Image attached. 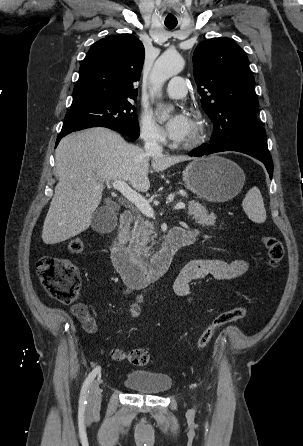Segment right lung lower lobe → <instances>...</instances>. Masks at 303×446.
<instances>
[{"mask_svg":"<svg viewBox=\"0 0 303 446\" xmlns=\"http://www.w3.org/2000/svg\"><path fill=\"white\" fill-rule=\"evenodd\" d=\"M90 127H107V128H110V129L115 130L114 128H112V127H110V126H106V125H102V124H89V125H84V126H81V127L76 128V129H74V130H72V131L65 132V133H60L59 136H58V138H57V141H56V146L58 145V143H59V141L61 140V138H63L65 135H67V134H69V133H71V132H73V131H78V130H82V129H86V128H90ZM115 131H116V130H115Z\"/></svg>","mask_w":303,"mask_h":446,"instance_id":"98d812e1","label":"right lung lower lobe"}]
</instances>
